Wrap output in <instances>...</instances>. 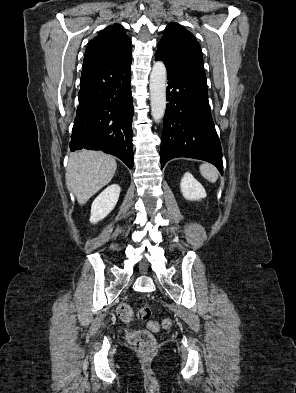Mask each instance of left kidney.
I'll use <instances>...</instances> for the list:
<instances>
[{
    "mask_svg": "<svg viewBox=\"0 0 296 393\" xmlns=\"http://www.w3.org/2000/svg\"><path fill=\"white\" fill-rule=\"evenodd\" d=\"M180 188L186 200L198 201L207 196L203 186L189 172H186L181 179Z\"/></svg>",
    "mask_w": 296,
    "mask_h": 393,
    "instance_id": "left-kidney-1",
    "label": "left kidney"
}]
</instances>
